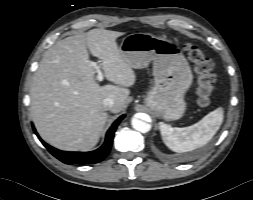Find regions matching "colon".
Instances as JSON below:
<instances>
[{
	"instance_id": "5ec220e1",
	"label": "colon",
	"mask_w": 253,
	"mask_h": 200,
	"mask_svg": "<svg viewBox=\"0 0 253 200\" xmlns=\"http://www.w3.org/2000/svg\"><path fill=\"white\" fill-rule=\"evenodd\" d=\"M185 52L197 74V100L200 106H208L215 90L216 77L213 73L214 64L199 47L187 44Z\"/></svg>"
}]
</instances>
